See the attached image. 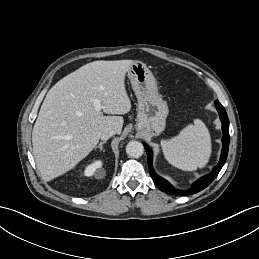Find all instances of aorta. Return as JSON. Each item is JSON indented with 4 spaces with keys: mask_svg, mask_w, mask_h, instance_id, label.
<instances>
[{
    "mask_svg": "<svg viewBox=\"0 0 259 259\" xmlns=\"http://www.w3.org/2000/svg\"><path fill=\"white\" fill-rule=\"evenodd\" d=\"M126 153L132 158H138L144 153L143 144L139 141H130L126 145Z\"/></svg>",
    "mask_w": 259,
    "mask_h": 259,
    "instance_id": "762f6f07",
    "label": "aorta"
}]
</instances>
